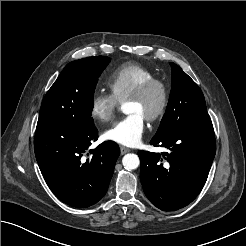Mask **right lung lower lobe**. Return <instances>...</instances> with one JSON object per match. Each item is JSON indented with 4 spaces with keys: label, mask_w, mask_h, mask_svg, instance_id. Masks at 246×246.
I'll return each instance as SVG.
<instances>
[{
    "label": "right lung lower lobe",
    "mask_w": 246,
    "mask_h": 246,
    "mask_svg": "<svg viewBox=\"0 0 246 246\" xmlns=\"http://www.w3.org/2000/svg\"><path fill=\"white\" fill-rule=\"evenodd\" d=\"M97 138L94 126L37 125L34 150L41 173L51 191L70 206L89 207L108 189L120 149L106 141L89 150Z\"/></svg>",
    "instance_id": "98d812e1"
}]
</instances>
